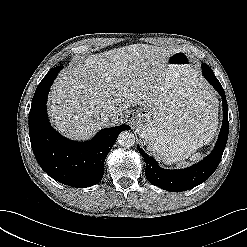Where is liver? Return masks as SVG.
<instances>
[{"mask_svg":"<svg viewBox=\"0 0 247 247\" xmlns=\"http://www.w3.org/2000/svg\"><path fill=\"white\" fill-rule=\"evenodd\" d=\"M178 52L148 44H132L93 54L60 72L48 98L53 124L66 137L87 140L113 125L132 105L151 107L168 85V58ZM114 106L118 118L101 113ZM217 125V121H216Z\"/></svg>","mask_w":247,"mask_h":247,"instance_id":"6515ba94","label":"liver"}]
</instances>
